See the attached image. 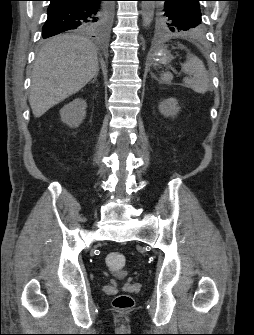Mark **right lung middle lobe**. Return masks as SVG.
Segmentation results:
<instances>
[{
  "instance_id": "obj_1",
  "label": "right lung middle lobe",
  "mask_w": 254,
  "mask_h": 335,
  "mask_svg": "<svg viewBox=\"0 0 254 335\" xmlns=\"http://www.w3.org/2000/svg\"><path fill=\"white\" fill-rule=\"evenodd\" d=\"M109 16H110V7L108 4H103L98 22L94 25L92 30H90L89 32L100 31L106 28L109 22ZM79 31L85 32L86 30H79Z\"/></svg>"
}]
</instances>
